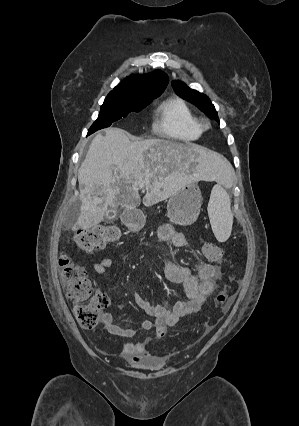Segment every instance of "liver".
<instances>
[{
  "label": "liver",
  "mask_w": 299,
  "mask_h": 426,
  "mask_svg": "<svg viewBox=\"0 0 299 426\" xmlns=\"http://www.w3.org/2000/svg\"><path fill=\"white\" fill-rule=\"evenodd\" d=\"M232 173L222 155L190 143L165 139L130 141L126 132L108 128L97 134L78 171L81 211L76 228L98 225L109 207L139 206L144 184L145 206L173 195L200 178L224 180Z\"/></svg>",
  "instance_id": "1"
}]
</instances>
